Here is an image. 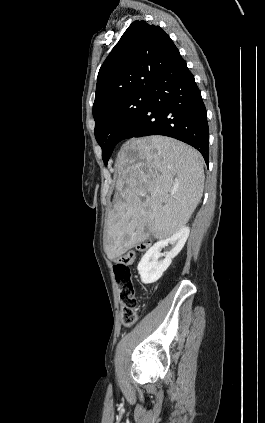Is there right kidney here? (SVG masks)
<instances>
[{"label": "right kidney", "instance_id": "1", "mask_svg": "<svg viewBox=\"0 0 265 423\" xmlns=\"http://www.w3.org/2000/svg\"><path fill=\"white\" fill-rule=\"evenodd\" d=\"M189 233L190 229L188 227H183L167 239L155 243L144 254L137 267L142 283L151 284L161 278L163 273L170 266L172 259L175 258L184 247ZM168 244L172 245V249L166 253L162 261H158L161 256L160 252L162 248Z\"/></svg>", "mask_w": 265, "mask_h": 423}]
</instances>
